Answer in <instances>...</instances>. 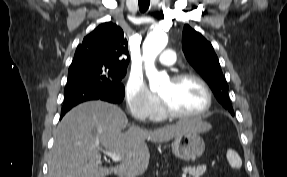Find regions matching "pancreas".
I'll use <instances>...</instances> for the list:
<instances>
[{"label": "pancreas", "mask_w": 287, "mask_h": 177, "mask_svg": "<svg viewBox=\"0 0 287 177\" xmlns=\"http://www.w3.org/2000/svg\"><path fill=\"white\" fill-rule=\"evenodd\" d=\"M206 171V166L186 167L183 169L184 173H189L192 177H200Z\"/></svg>", "instance_id": "obj_1"}]
</instances>
